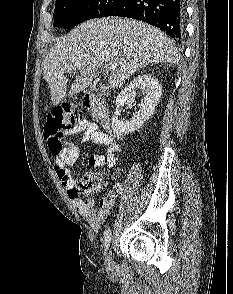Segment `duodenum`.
Returning a JSON list of instances; mask_svg holds the SVG:
<instances>
[{"mask_svg": "<svg viewBox=\"0 0 233 294\" xmlns=\"http://www.w3.org/2000/svg\"><path fill=\"white\" fill-rule=\"evenodd\" d=\"M83 105L106 130H109V112L100 98L91 92H85L83 95Z\"/></svg>", "mask_w": 233, "mask_h": 294, "instance_id": "1", "label": "duodenum"}]
</instances>
